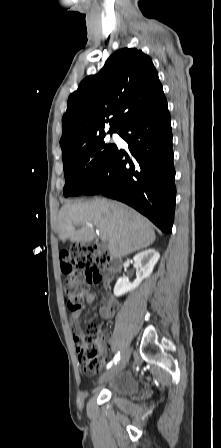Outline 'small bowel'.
I'll return each mask as SVG.
<instances>
[{
    "mask_svg": "<svg viewBox=\"0 0 221 448\" xmlns=\"http://www.w3.org/2000/svg\"><path fill=\"white\" fill-rule=\"evenodd\" d=\"M94 301L95 295L93 293H89L85 297L84 304L81 306V308L71 312V321L76 330H79V324L82 320L83 310L87 305L94 303ZM118 307L119 303L116 298L112 295L106 294L103 303L99 307V314L104 319L112 318L115 315ZM77 351L80 354V349H78Z\"/></svg>",
    "mask_w": 221,
    "mask_h": 448,
    "instance_id": "1",
    "label": "small bowel"
}]
</instances>
